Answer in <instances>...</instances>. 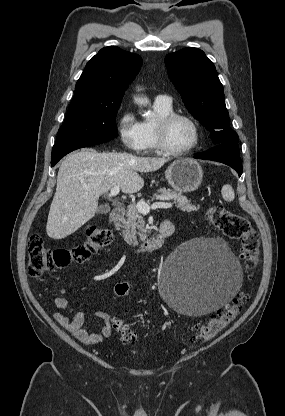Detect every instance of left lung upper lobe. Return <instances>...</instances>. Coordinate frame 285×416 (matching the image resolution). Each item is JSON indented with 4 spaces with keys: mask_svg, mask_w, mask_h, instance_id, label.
<instances>
[{
    "mask_svg": "<svg viewBox=\"0 0 285 416\" xmlns=\"http://www.w3.org/2000/svg\"><path fill=\"white\" fill-rule=\"evenodd\" d=\"M168 75L189 112L211 132L215 144L238 142L229 127L224 91L214 64L198 48H184L165 58Z\"/></svg>",
    "mask_w": 285,
    "mask_h": 416,
    "instance_id": "1",
    "label": "left lung upper lobe"
}]
</instances>
